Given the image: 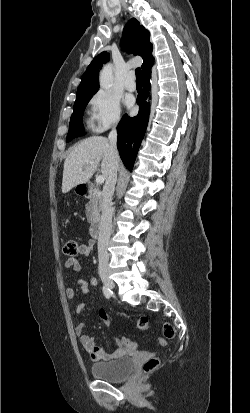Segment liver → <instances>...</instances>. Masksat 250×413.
<instances>
[{
	"label": "liver",
	"instance_id": "obj_1",
	"mask_svg": "<svg viewBox=\"0 0 250 413\" xmlns=\"http://www.w3.org/2000/svg\"><path fill=\"white\" fill-rule=\"evenodd\" d=\"M101 160V173L107 180L112 167L107 138L91 136L74 146L64 162L62 192L65 194L75 186L88 182Z\"/></svg>",
	"mask_w": 250,
	"mask_h": 413
}]
</instances>
